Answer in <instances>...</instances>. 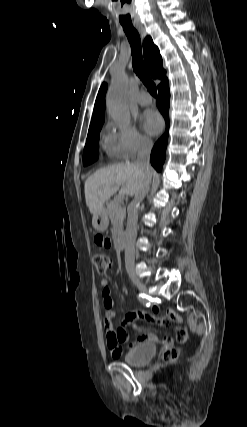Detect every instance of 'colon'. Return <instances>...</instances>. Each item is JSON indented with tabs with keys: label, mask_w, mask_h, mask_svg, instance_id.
Listing matches in <instances>:
<instances>
[{
	"label": "colon",
	"mask_w": 247,
	"mask_h": 427,
	"mask_svg": "<svg viewBox=\"0 0 247 427\" xmlns=\"http://www.w3.org/2000/svg\"><path fill=\"white\" fill-rule=\"evenodd\" d=\"M93 263L99 273H104L110 266V258L105 253H97L93 256ZM178 352L176 349H168L164 353V359L171 361L177 358Z\"/></svg>",
	"instance_id": "5ec220e1"
}]
</instances>
